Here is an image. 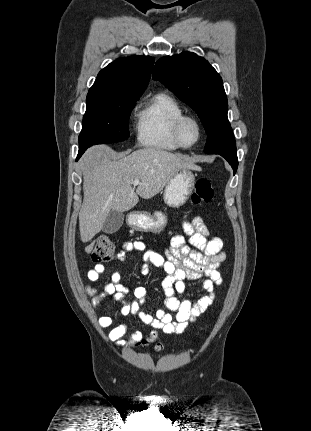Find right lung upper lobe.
<instances>
[{"label":"right lung upper lobe","mask_w":311,"mask_h":431,"mask_svg":"<svg viewBox=\"0 0 311 431\" xmlns=\"http://www.w3.org/2000/svg\"><path fill=\"white\" fill-rule=\"evenodd\" d=\"M150 56L120 58L102 69L88 94L141 96L153 68Z\"/></svg>","instance_id":"right-lung-upper-lobe-1"}]
</instances>
